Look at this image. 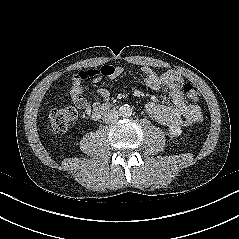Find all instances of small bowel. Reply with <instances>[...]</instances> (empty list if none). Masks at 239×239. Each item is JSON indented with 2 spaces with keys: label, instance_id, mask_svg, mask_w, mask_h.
<instances>
[{
  "label": "small bowel",
  "instance_id": "obj_1",
  "mask_svg": "<svg viewBox=\"0 0 239 239\" xmlns=\"http://www.w3.org/2000/svg\"><path fill=\"white\" fill-rule=\"evenodd\" d=\"M145 85L154 90L160 91L165 87L169 91L171 105H163L149 102L145 105V111L153 119L167 127H189L202 120L200 107L189 105L185 102L180 89L182 78L174 72L159 74L150 67L142 68ZM123 74V68L112 65H105L99 69L80 70L71 77L70 96L72 102L80 109L85 110L90 115L95 109L103 107L109 100L110 94L107 89L99 88L95 90L101 100L89 101L85 96L83 82L91 80L99 82L102 78L117 79Z\"/></svg>",
  "mask_w": 239,
  "mask_h": 239
}]
</instances>
